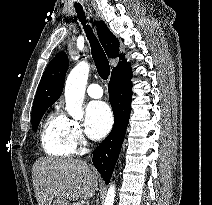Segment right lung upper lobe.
I'll return each mask as SVG.
<instances>
[{
  "label": "right lung upper lobe",
  "mask_w": 212,
  "mask_h": 205,
  "mask_svg": "<svg viewBox=\"0 0 212 205\" xmlns=\"http://www.w3.org/2000/svg\"><path fill=\"white\" fill-rule=\"evenodd\" d=\"M96 29L99 40L108 57H119V60H122L118 63L116 68H113V71L128 64L125 59V54H120L118 39L110 32L105 23L98 21L96 23ZM67 69V55L64 52L58 53L48 64L43 73L36 92L33 108L41 105H52L60 97L63 91Z\"/></svg>",
  "instance_id": "cb5924a9"
}]
</instances>
